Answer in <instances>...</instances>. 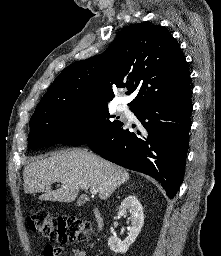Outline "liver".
<instances>
[{
  "mask_svg": "<svg viewBox=\"0 0 221 256\" xmlns=\"http://www.w3.org/2000/svg\"><path fill=\"white\" fill-rule=\"evenodd\" d=\"M129 180L122 167L82 149L56 153L37 159L24 168L23 187L27 194L42 192L41 200L69 203L82 189H96L99 198L106 200L116 188ZM54 182L61 188L52 190Z\"/></svg>",
  "mask_w": 221,
  "mask_h": 256,
  "instance_id": "6515ba94",
  "label": "liver"
}]
</instances>
